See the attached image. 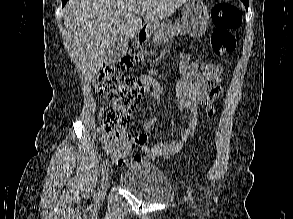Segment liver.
<instances>
[{
	"instance_id": "liver-1",
	"label": "liver",
	"mask_w": 293,
	"mask_h": 219,
	"mask_svg": "<svg viewBox=\"0 0 293 219\" xmlns=\"http://www.w3.org/2000/svg\"><path fill=\"white\" fill-rule=\"evenodd\" d=\"M187 1L69 0L64 8V24L73 58L85 79L96 78L114 38L133 39L143 27L142 19L150 28Z\"/></svg>"
}]
</instances>
